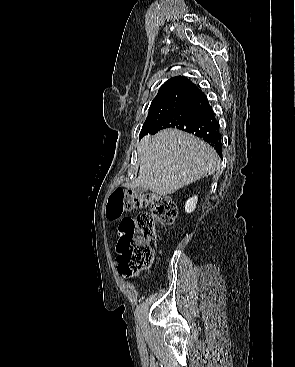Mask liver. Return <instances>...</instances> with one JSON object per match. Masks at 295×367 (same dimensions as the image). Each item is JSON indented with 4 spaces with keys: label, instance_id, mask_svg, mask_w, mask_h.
<instances>
[{
    "label": "liver",
    "instance_id": "obj_1",
    "mask_svg": "<svg viewBox=\"0 0 295 367\" xmlns=\"http://www.w3.org/2000/svg\"><path fill=\"white\" fill-rule=\"evenodd\" d=\"M140 169L128 186L167 196L220 168L215 150L203 140L177 129L145 136L138 145Z\"/></svg>",
    "mask_w": 295,
    "mask_h": 367
}]
</instances>
